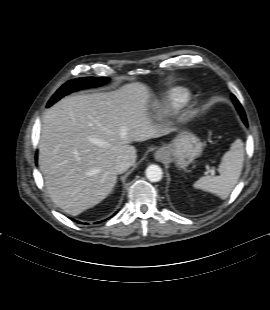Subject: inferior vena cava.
<instances>
[{
  "mask_svg": "<svg viewBox=\"0 0 270 310\" xmlns=\"http://www.w3.org/2000/svg\"><path fill=\"white\" fill-rule=\"evenodd\" d=\"M131 165L132 161L130 156L127 154H122L115 160L114 170L116 173L121 174L127 171Z\"/></svg>",
  "mask_w": 270,
  "mask_h": 310,
  "instance_id": "inferior-vena-cava-1",
  "label": "inferior vena cava"
}]
</instances>
